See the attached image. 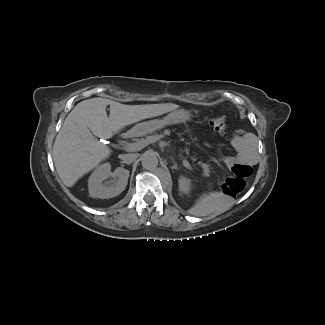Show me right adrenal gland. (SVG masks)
Wrapping results in <instances>:
<instances>
[{
  "label": "right adrenal gland",
  "instance_id": "1",
  "mask_svg": "<svg viewBox=\"0 0 325 325\" xmlns=\"http://www.w3.org/2000/svg\"><path fill=\"white\" fill-rule=\"evenodd\" d=\"M120 163L123 165L125 162L121 161ZM129 164H130V163H127V165H129Z\"/></svg>",
  "mask_w": 325,
  "mask_h": 325
}]
</instances>
